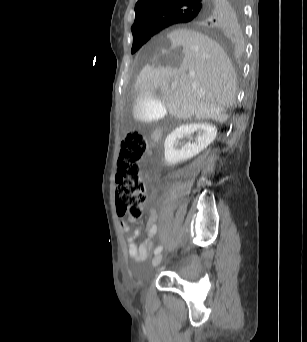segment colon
<instances>
[{
  "label": "colon",
  "instance_id": "1",
  "mask_svg": "<svg viewBox=\"0 0 307 342\" xmlns=\"http://www.w3.org/2000/svg\"><path fill=\"white\" fill-rule=\"evenodd\" d=\"M149 146V140L142 133L130 131L120 148L115 200L119 214L134 220L142 216L147 200L145 184L139 178V161L144 159Z\"/></svg>",
  "mask_w": 307,
  "mask_h": 342
}]
</instances>
